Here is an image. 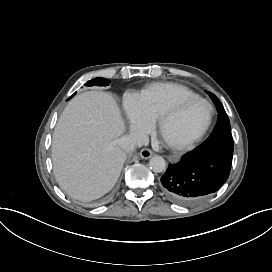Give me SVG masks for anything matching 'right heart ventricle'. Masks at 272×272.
<instances>
[{"instance_id":"right-heart-ventricle-1","label":"right heart ventricle","mask_w":272,"mask_h":272,"mask_svg":"<svg viewBox=\"0 0 272 272\" xmlns=\"http://www.w3.org/2000/svg\"><path fill=\"white\" fill-rule=\"evenodd\" d=\"M196 96L190 89L178 84H155L136 97L138 109L150 118L171 114L172 107L182 98Z\"/></svg>"}]
</instances>
